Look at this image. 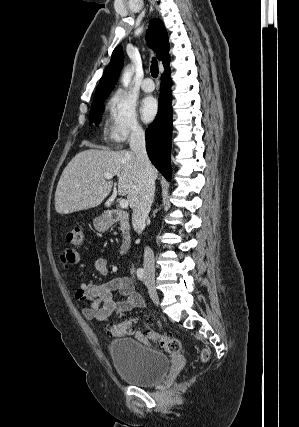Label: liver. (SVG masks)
I'll return each mask as SVG.
<instances>
[{
  "label": "liver",
  "mask_w": 299,
  "mask_h": 427,
  "mask_svg": "<svg viewBox=\"0 0 299 427\" xmlns=\"http://www.w3.org/2000/svg\"><path fill=\"white\" fill-rule=\"evenodd\" d=\"M91 146V145H90ZM105 173L118 176V194L134 207L139 192L136 155L132 151L84 150L66 166L55 192V210L69 214L100 205L112 190ZM154 178L157 171L153 169Z\"/></svg>",
  "instance_id": "obj_1"
}]
</instances>
